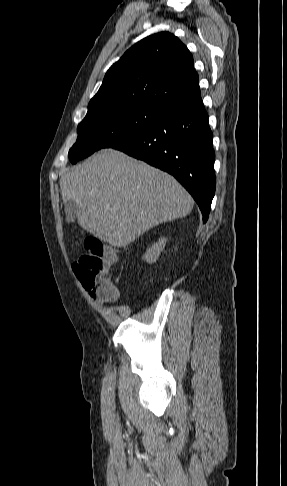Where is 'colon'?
<instances>
[{
	"mask_svg": "<svg viewBox=\"0 0 287 486\" xmlns=\"http://www.w3.org/2000/svg\"><path fill=\"white\" fill-rule=\"evenodd\" d=\"M85 248L86 252L73 266L77 278L95 300H116L118 289L109 276L110 268L117 261L115 252L96 237L87 238Z\"/></svg>",
	"mask_w": 287,
	"mask_h": 486,
	"instance_id": "colon-1",
	"label": "colon"
}]
</instances>
